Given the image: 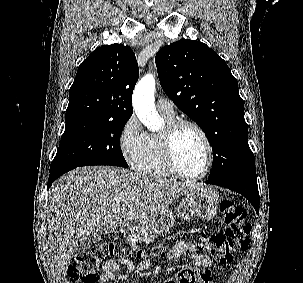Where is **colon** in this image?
Returning a JSON list of instances; mask_svg holds the SVG:
<instances>
[{
    "mask_svg": "<svg viewBox=\"0 0 303 283\" xmlns=\"http://www.w3.org/2000/svg\"><path fill=\"white\" fill-rule=\"evenodd\" d=\"M222 219L226 224L223 231L202 233L198 235L199 246L218 263H229L234 255L244 250L249 243L248 234L251 225L247 220L248 212L245 208L234 205L229 200L220 203ZM163 252L154 248L148 252L144 249L132 250L126 246L109 242L92 246L77 253L68 266V277L73 282L98 283L99 270L102 265L112 259L135 255L137 259ZM204 271L202 269L187 268L181 270L166 283H200Z\"/></svg>",
    "mask_w": 303,
    "mask_h": 283,
    "instance_id": "obj_1",
    "label": "colon"
}]
</instances>
